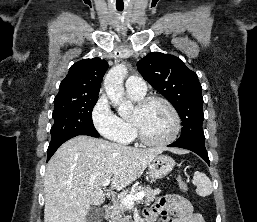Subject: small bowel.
<instances>
[{"mask_svg":"<svg viewBox=\"0 0 257 222\" xmlns=\"http://www.w3.org/2000/svg\"><path fill=\"white\" fill-rule=\"evenodd\" d=\"M172 214V217L169 215ZM204 222L202 216L193 212L191 203L179 195L161 197L144 212V222Z\"/></svg>","mask_w":257,"mask_h":222,"instance_id":"small-bowel-1","label":"small bowel"}]
</instances>
